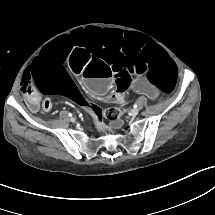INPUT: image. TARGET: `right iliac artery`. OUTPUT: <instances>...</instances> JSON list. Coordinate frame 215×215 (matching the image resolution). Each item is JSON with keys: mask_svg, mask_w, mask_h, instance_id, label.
<instances>
[{"mask_svg": "<svg viewBox=\"0 0 215 215\" xmlns=\"http://www.w3.org/2000/svg\"><path fill=\"white\" fill-rule=\"evenodd\" d=\"M68 116H70V117H71V116H72V114H71V113H69V114H68Z\"/></svg>", "mask_w": 215, "mask_h": 215, "instance_id": "obj_1", "label": "right iliac artery"}]
</instances>
